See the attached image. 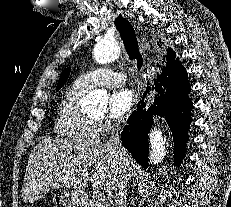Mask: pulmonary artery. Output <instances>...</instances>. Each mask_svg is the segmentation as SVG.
I'll return each mask as SVG.
<instances>
[{
  "instance_id": "e3ab8cb5",
  "label": "pulmonary artery",
  "mask_w": 231,
  "mask_h": 207,
  "mask_svg": "<svg viewBox=\"0 0 231 207\" xmlns=\"http://www.w3.org/2000/svg\"><path fill=\"white\" fill-rule=\"evenodd\" d=\"M124 73L116 72L108 66H99L81 76H79L74 84L83 90H88L95 86L113 87L121 85L125 82Z\"/></svg>"
}]
</instances>
